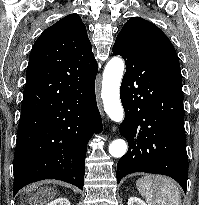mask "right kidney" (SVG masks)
Here are the masks:
<instances>
[{
    "label": "right kidney",
    "mask_w": 199,
    "mask_h": 205,
    "mask_svg": "<svg viewBox=\"0 0 199 205\" xmlns=\"http://www.w3.org/2000/svg\"><path fill=\"white\" fill-rule=\"evenodd\" d=\"M46 205H70V202L66 198H57Z\"/></svg>",
    "instance_id": "ca27d5eb"
}]
</instances>
